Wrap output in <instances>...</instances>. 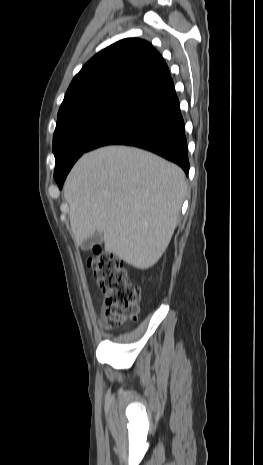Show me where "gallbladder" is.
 Instances as JSON below:
<instances>
[{
    "instance_id": "bac80fb5",
    "label": "gallbladder",
    "mask_w": 263,
    "mask_h": 465,
    "mask_svg": "<svg viewBox=\"0 0 263 465\" xmlns=\"http://www.w3.org/2000/svg\"><path fill=\"white\" fill-rule=\"evenodd\" d=\"M102 241H103V234L96 231L94 234H92L90 237H88L86 240L82 242L81 249L83 251H88L94 245L99 244Z\"/></svg>"
}]
</instances>
